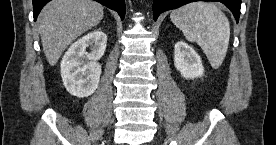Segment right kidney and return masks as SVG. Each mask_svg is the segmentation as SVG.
<instances>
[{
  "label": "right kidney",
  "instance_id": "ca27d5eb",
  "mask_svg": "<svg viewBox=\"0 0 276 145\" xmlns=\"http://www.w3.org/2000/svg\"><path fill=\"white\" fill-rule=\"evenodd\" d=\"M107 35L94 30L73 43L61 61V77L66 90L73 96L84 98L98 87L101 66L97 62L106 49ZM90 47V52L86 49Z\"/></svg>",
  "mask_w": 276,
  "mask_h": 145
}]
</instances>
